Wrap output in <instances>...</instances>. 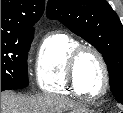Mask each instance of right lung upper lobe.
Wrapping results in <instances>:
<instances>
[{
	"instance_id": "right-lung-upper-lobe-1",
	"label": "right lung upper lobe",
	"mask_w": 123,
	"mask_h": 113,
	"mask_svg": "<svg viewBox=\"0 0 123 113\" xmlns=\"http://www.w3.org/2000/svg\"><path fill=\"white\" fill-rule=\"evenodd\" d=\"M44 4L45 0H1V39L33 35Z\"/></svg>"
}]
</instances>
